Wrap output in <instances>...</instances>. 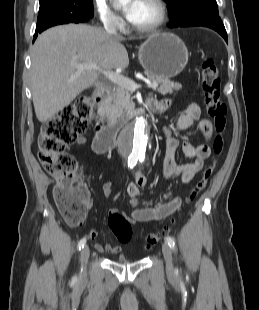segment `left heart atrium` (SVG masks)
Masks as SVG:
<instances>
[{"label":"left heart atrium","instance_id":"39dd6f15","mask_svg":"<svg viewBox=\"0 0 259 310\" xmlns=\"http://www.w3.org/2000/svg\"><path fill=\"white\" fill-rule=\"evenodd\" d=\"M140 0H133L132 2H130L128 4V6L126 7L124 14L126 16V18L131 22L134 18L135 12H136V8L138 6Z\"/></svg>","mask_w":259,"mask_h":310}]
</instances>
